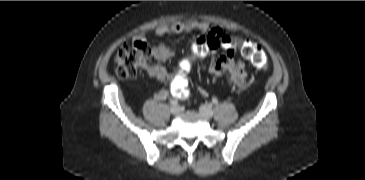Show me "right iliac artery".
<instances>
[{
	"label": "right iliac artery",
	"mask_w": 365,
	"mask_h": 180,
	"mask_svg": "<svg viewBox=\"0 0 365 180\" xmlns=\"http://www.w3.org/2000/svg\"><path fill=\"white\" fill-rule=\"evenodd\" d=\"M170 104H171V105H173V106H175V105H177V104H178V101H177V100H171V101H170Z\"/></svg>",
	"instance_id": "right-iliac-artery-1"
}]
</instances>
